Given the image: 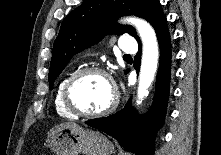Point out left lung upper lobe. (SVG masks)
Instances as JSON below:
<instances>
[{"mask_svg": "<svg viewBox=\"0 0 221 155\" xmlns=\"http://www.w3.org/2000/svg\"><path fill=\"white\" fill-rule=\"evenodd\" d=\"M159 4L157 0H84L65 17L54 42L49 70L50 88L73 55L95 44L106 34L128 33L138 38L132 26L114 25L118 17L136 15L148 20Z\"/></svg>", "mask_w": 221, "mask_h": 155, "instance_id": "left-lung-upper-lobe-1", "label": "left lung upper lobe"}]
</instances>
